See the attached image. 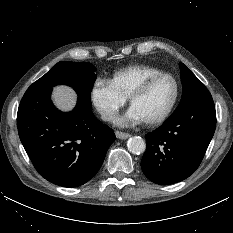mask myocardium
Returning a JSON list of instances; mask_svg holds the SVG:
<instances>
[{
    "label": "myocardium",
    "instance_id": "1",
    "mask_svg": "<svg viewBox=\"0 0 233 233\" xmlns=\"http://www.w3.org/2000/svg\"><path fill=\"white\" fill-rule=\"evenodd\" d=\"M164 77L171 78L174 82L175 91H174L173 98H172L170 104L168 105V107L166 108V110L160 116H158L154 119L144 120V123L146 125L156 126V125L162 124L163 122H165L169 118V116L173 112V110L177 104V101L179 99V95H180L179 81L177 80V78L173 74L168 73V72H161V73H158V74H155V75H152V76L146 78L129 96V104L132 106L133 102L137 98L144 95L157 80L164 78Z\"/></svg>",
    "mask_w": 233,
    "mask_h": 233
}]
</instances>
